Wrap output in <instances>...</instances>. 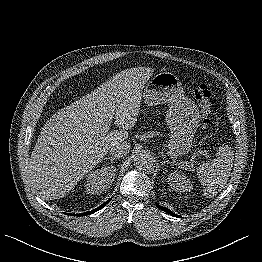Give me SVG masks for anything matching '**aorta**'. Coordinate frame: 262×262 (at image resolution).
I'll use <instances>...</instances> for the list:
<instances>
[{
    "label": "aorta",
    "mask_w": 262,
    "mask_h": 262,
    "mask_svg": "<svg viewBox=\"0 0 262 262\" xmlns=\"http://www.w3.org/2000/svg\"><path fill=\"white\" fill-rule=\"evenodd\" d=\"M136 166L139 170H150L152 162L147 154L139 153L136 159Z\"/></svg>",
    "instance_id": "obj_1"
}]
</instances>
